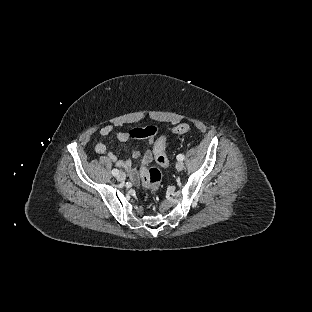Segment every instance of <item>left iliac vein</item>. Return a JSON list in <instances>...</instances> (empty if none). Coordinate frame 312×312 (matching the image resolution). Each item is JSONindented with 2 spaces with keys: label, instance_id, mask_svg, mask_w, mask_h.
Returning <instances> with one entry per match:
<instances>
[{
  "label": "left iliac vein",
  "instance_id": "left-iliac-vein-1",
  "mask_svg": "<svg viewBox=\"0 0 312 312\" xmlns=\"http://www.w3.org/2000/svg\"><path fill=\"white\" fill-rule=\"evenodd\" d=\"M176 169H177L178 171H182V170L184 169V163H183L182 161H178V162L176 163Z\"/></svg>",
  "mask_w": 312,
  "mask_h": 312
}]
</instances>
